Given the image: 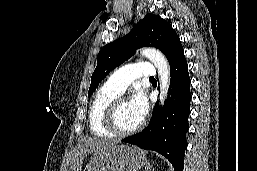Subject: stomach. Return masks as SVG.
Listing matches in <instances>:
<instances>
[{
    "instance_id": "1",
    "label": "stomach",
    "mask_w": 257,
    "mask_h": 171,
    "mask_svg": "<svg viewBox=\"0 0 257 171\" xmlns=\"http://www.w3.org/2000/svg\"><path fill=\"white\" fill-rule=\"evenodd\" d=\"M147 163L146 154L128 145H113L95 152L83 171H138Z\"/></svg>"
}]
</instances>
